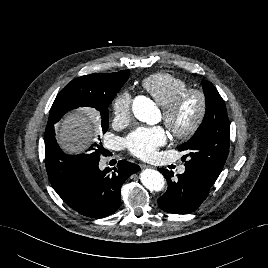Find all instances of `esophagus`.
Listing matches in <instances>:
<instances>
[{"label": "esophagus", "instance_id": "1", "mask_svg": "<svg viewBox=\"0 0 268 268\" xmlns=\"http://www.w3.org/2000/svg\"><path fill=\"white\" fill-rule=\"evenodd\" d=\"M140 167H141L142 169H145V168H148L149 166H148L147 164H145V163H141V164H140Z\"/></svg>", "mask_w": 268, "mask_h": 268}]
</instances>
